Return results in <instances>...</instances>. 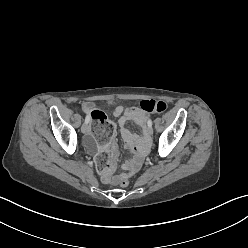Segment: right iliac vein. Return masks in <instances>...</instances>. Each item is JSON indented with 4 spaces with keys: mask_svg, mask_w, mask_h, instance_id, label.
Wrapping results in <instances>:
<instances>
[{
    "mask_svg": "<svg viewBox=\"0 0 248 248\" xmlns=\"http://www.w3.org/2000/svg\"><path fill=\"white\" fill-rule=\"evenodd\" d=\"M89 129H90V127H89L88 123H84V124L82 125V127H81V131H82V133H84V134L88 133Z\"/></svg>",
    "mask_w": 248,
    "mask_h": 248,
    "instance_id": "right-iliac-vein-1",
    "label": "right iliac vein"
}]
</instances>
